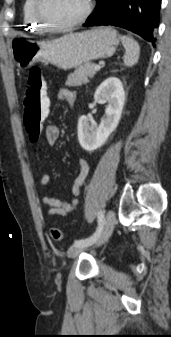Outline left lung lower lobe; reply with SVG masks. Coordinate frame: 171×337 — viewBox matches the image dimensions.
I'll use <instances>...</instances> for the list:
<instances>
[{
  "mask_svg": "<svg viewBox=\"0 0 171 337\" xmlns=\"http://www.w3.org/2000/svg\"><path fill=\"white\" fill-rule=\"evenodd\" d=\"M161 0H97L85 27L111 25L130 30L154 42L160 19Z\"/></svg>",
  "mask_w": 171,
  "mask_h": 337,
  "instance_id": "left-lung-lower-lobe-1",
  "label": "left lung lower lobe"
}]
</instances>
